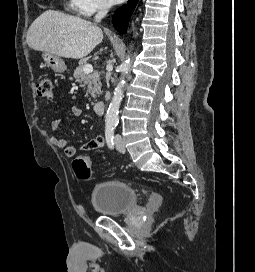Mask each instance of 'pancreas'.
Here are the masks:
<instances>
[{"label":"pancreas","mask_w":255,"mask_h":272,"mask_svg":"<svg viewBox=\"0 0 255 272\" xmlns=\"http://www.w3.org/2000/svg\"><path fill=\"white\" fill-rule=\"evenodd\" d=\"M86 63L79 65L74 71V78L80 82L81 87L87 86L86 97L89 96V100L96 101L97 97L101 95V82L100 73L94 71L93 73L85 74L83 69Z\"/></svg>","instance_id":"obj_1"}]
</instances>
